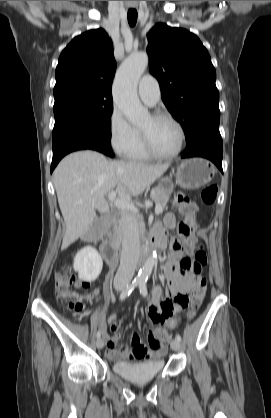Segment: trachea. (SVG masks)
Masks as SVG:
<instances>
[{
	"instance_id": "1",
	"label": "trachea",
	"mask_w": 271,
	"mask_h": 418,
	"mask_svg": "<svg viewBox=\"0 0 271 418\" xmlns=\"http://www.w3.org/2000/svg\"><path fill=\"white\" fill-rule=\"evenodd\" d=\"M128 22L131 27L135 26L137 22V11L135 9L128 10Z\"/></svg>"
}]
</instances>
